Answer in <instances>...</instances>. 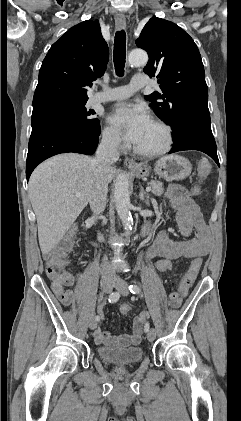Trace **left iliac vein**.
Listing matches in <instances>:
<instances>
[{"instance_id":"4c4485c4","label":"left iliac vein","mask_w":241,"mask_h":421,"mask_svg":"<svg viewBox=\"0 0 241 421\" xmlns=\"http://www.w3.org/2000/svg\"><path fill=\"white\" fill-rule=\"evenodd\" d=\"M113 285L116 290L123 296L128 295V283L120 277H115L113 280ZM156 337V331L154 328H151L147 333V338L149 341H153Z\"/></svg>"}]
</instances>
